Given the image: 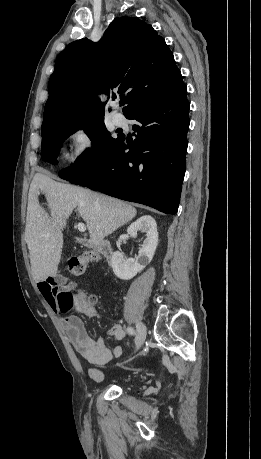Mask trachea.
Returning <instances> with one entry per match:
<instances>
[{"mask_svg":"<svg viewBox=\"0 0 261 459\" xmlns=\"http://www.w3.org/2000/svg\"><path fill=\"white\" fill-rule=\"evenodd\" d=\"M125 103H126L125 100L120 101V104H121V105H124Z\"/></svg>","mask_w":261,"mask_h":459,"instance_id":"3493384b","label":"trachea"}]
</instances>
